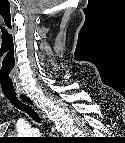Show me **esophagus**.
<instances>
[{
	"label": "esophagus",
	"mask_w": 125,
	"mask_h": 143,
	"mask_svg": "<svg viewBox=\"0 0 125 143\" xmlns=\"http://www.w3.org/2000/svg\"><path fill=\"white\" fill-rule=\"evenodd\" d=\"M18 99L31 106L43 119H46V115L43 113V111L36 105V103L26 94V93H19L17 95ZM52 133L55 132L54 127H51Z\"/></svg>",
	"instance_id": "1"
}]
</instances>
